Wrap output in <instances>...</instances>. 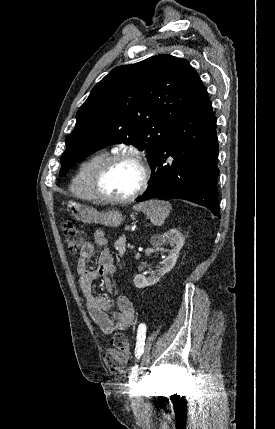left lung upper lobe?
I'll use <instances>...</instances> for the list:
<instances>
[{"label": "left lung upper lobe", "mask_w": 275, "mask_h": 429, "mask_svg": "<svg viewBox=\"0 0 275 429\" xmlns=\"http://www.w3.org/2000/svg\"><path fill=\"white\" fill-rule=\"evenodd\" d=\"M198 81V73L186 59L168 54L114 68L78 109L59 175L97 150L118 143L134 144L151 164Z\"/></svg>", "instance_id": "5c2ea615"}]
</instances>
